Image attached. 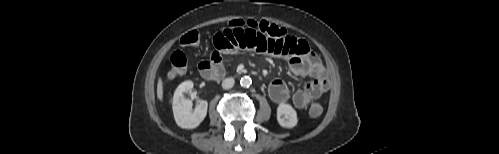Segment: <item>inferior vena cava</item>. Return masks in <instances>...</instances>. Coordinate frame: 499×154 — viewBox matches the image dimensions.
I'll return each mask as SVG.
<instances>
[{
    "label": "inferior vena cava",
    "mask_w": 499,
    "mask_h": 154,
    "mask_svg": "<svg viewBox=\"0 0 499 154\" xmlns=\"http://www.w3.org/2000/svg\"><path fill=\"white\" fill-rule=\"evenodd\" d=\"M234 79L233 78H226L222 82V88L223 89H230L234 86Z\"/></svg>",
    "instance_id": "inferior-vena-cava-1"
}]
</instances>
